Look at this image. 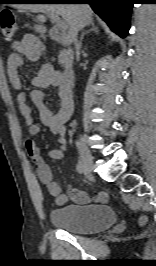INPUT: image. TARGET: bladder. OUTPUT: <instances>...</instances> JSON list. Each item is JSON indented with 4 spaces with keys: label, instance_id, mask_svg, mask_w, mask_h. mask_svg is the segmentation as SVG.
<instances>
[{
    "label": "bladder",
    "instance_id": "obj_1",
    "mask_svg": "<svg viewBox=\"0 0 156 266\" xmlns=\"http://www.w3.org/2000/svg\"><path fill=\"white\" fill-rule=\"evenodd\" d=\"M56 227L77 234H90L105 230L116 223L114 210L106 205H66L50 212Z\"/></svg>",
    "mask_w": 156,
    "mask_h": 266
}]
</instances>
